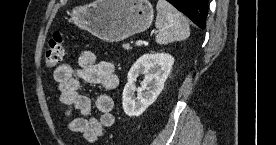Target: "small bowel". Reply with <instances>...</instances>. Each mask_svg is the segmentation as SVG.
I'll return each mask as SVG.
<instances>
[{
    "mask_svg": "<svg viewBox=\"0 0 276 145\" xmlns=\"http://www.w3.org/2000/svg\"><path fill=\"white\" fill-rule=\"evenodd\" d=\"M78 65V67L71 64L59 65L53 71V78L59 86V101L65 107L64 115L70 119L68 128L72 132L81 133L85 140L93 143L113 125L114 102L108 94L98 95L95 102L97 116H92L90 98L79 92L80 80L90 84H100L104 90L112 91L118 85V78L114 74L113 63L97 62L95 55L90 51H83L80 54ZM75 110L81 115L72 118Z\"/></svg>",
    "mask_w": 276,
    "mask_h": 145,
    "instance_id": "small-bowel-1",
    "label": "small bowel"
}]
</instances>
